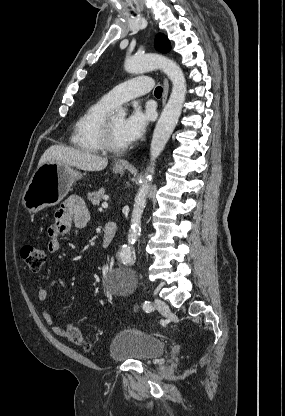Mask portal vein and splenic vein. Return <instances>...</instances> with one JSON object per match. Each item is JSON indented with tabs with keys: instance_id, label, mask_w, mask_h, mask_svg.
<instances>
[{
	"instance_id": "18ae733b",
	"label": "portal vein and splenic vein",
	"mask_w": 285,
	"mask_h": 416,
	"mask_svg": "<svg viewBox=\"0 0 285 416\" xmlns=\"http://www.w3.org/2000/svg\"><path fill=\"white\" fill-rule=\"evenodd\" d=\"M102 208H108V204H107L106 200H105V202H103Z\"/></svg>"
}]
</instances>
